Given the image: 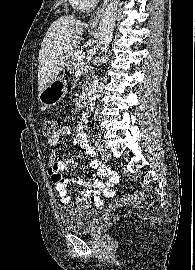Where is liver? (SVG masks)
Listing matches in <instances>:
<instances>
[{
  "mask_svg": "<svg viewBox=\"0 0 195 270\" xmlns=\"http://www.w3.org/2000/svg\"><path fill=\"white\" fill-rule=\"evenodd\" d=\"M84 23L73 16L54 21L39 51L38 91H43L64 69L71 53L83 39Z\"/></svg>",
  "mask_w": 195,
  "mask_h": 270,
  "instance_id": "6515ba94",
  "label": "liver"
}]
</instances>
